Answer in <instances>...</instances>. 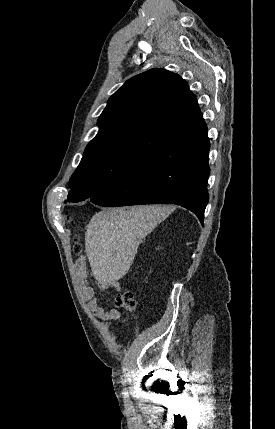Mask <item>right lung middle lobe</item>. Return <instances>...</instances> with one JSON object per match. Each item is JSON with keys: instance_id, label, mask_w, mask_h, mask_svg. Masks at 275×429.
<instances>
[{"instance_id": "right-lung-middle-lobe-1", "label": "right lung middle lobe", "mask_w": 275, "mask_h": 429, "mask_svg": "<svg viewBox=\"0 0 275 429\" xmlns=\"http://www.w3.org/2000/svg\"><path fill=\"white\" fill-rule=\"evenodd\" d=\"M149 155L112 147L82 158L69 181L67 201L78 202L100 195L134 172Z\"/></svg>"}]
</instances>
